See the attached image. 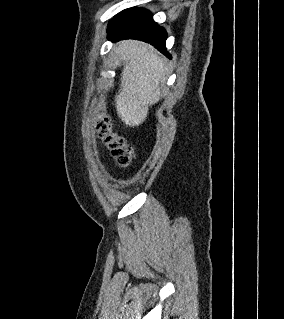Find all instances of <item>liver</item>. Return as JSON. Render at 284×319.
<instances>
[{
	"mask_svg": "<svg viewBox=\"0 0 284 319\" xmlns=\"http://www.w3.org/2000/svg\"><path fill=\"white\" fill-rule=\"evenodd\" d=\"M115 54L125 63L115 97L117 114L126 126H139L147 118L148 107L160 99L166 66L156 50L141 41H124Z\"/></svg>",
	"mask_w": 284,
	"mask_h": 319,
	"instance_id": "1",
	"label": "liver"
}]
</instances>
